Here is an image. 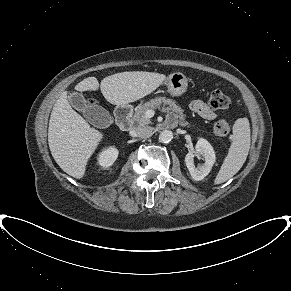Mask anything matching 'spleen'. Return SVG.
I'll use <instances>...</instances> for the list:
<instances>
[{
    "mask_svg": "<svg viewBox=\"0 0 291 291\" xmlns=\"http://www.w3.org/2000/svg\"><path fill=\"white\" fill-rule=\"evenodd\" d=\"M250 125L246 118L237 119L233 125L231 146L214 180L221 184L233 177L243 166L250 149Z\"/></svg>",
    "mask_w": 291,
    "mask_h": 291,
    "instance_id": "obj_1",
    "label": "spleen"
}]
</instances>
